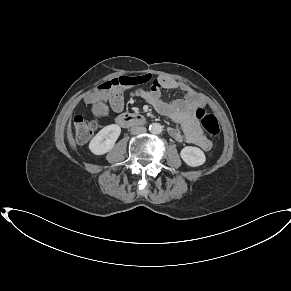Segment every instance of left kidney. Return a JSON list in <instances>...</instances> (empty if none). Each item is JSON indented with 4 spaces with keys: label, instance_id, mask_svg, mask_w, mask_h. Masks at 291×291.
<instances>
[{
    "label": "left kidney",
    "instance_id": "left-kidney-1",
    "mask_svg": "<svg viewBox=\"0 0 291 291\" xmlns=\"http://www.w3.org/2000/svg\"><path fill=\"white\" fill-rule=\"evenodd\" d=\"M180 156L182 160L191 167L201 166L206 161L204 152L201 149L193 146L184 147L180 152Z\"/></svg>",
    "mask_w": 291,
    "mask_h": 291
}]
</instances>
